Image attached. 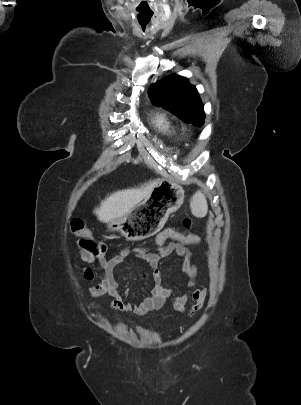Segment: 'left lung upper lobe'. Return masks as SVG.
<instances>
[{
	"mask_svg": "<svg viewBox=\"0 0 301 405\" xmlns=\"http://www.w3.org/2000/svg\"><path fill=\"white\" fill-rule=\"evenodd\" d=\"M149 96L154 104L163 106L184 122L203 125V104L195 86L189 84L186 78L168 76L150 86Z\"/></svg>",
	"mask_w": 301,
	"mask_h": 405,
	"instance_id": "obj_1",
	"label": "left lung upper lobe"
}]
</instances>
